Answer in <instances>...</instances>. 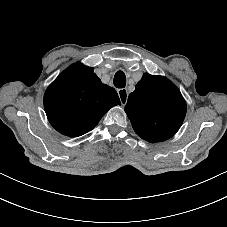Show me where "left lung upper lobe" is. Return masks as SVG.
I'll use <instances>...</instances> for the list:
<instances>
[{
    "instance_id": "1",
    "label": "left lung upper lobe",
    "mask_w": 227,
    "mask_h": 227,
    "mask_svg": "<svg viewBox=\"0 0 227 227\" xmlns=\"http://www.w3.org/2000/svg\"><path fill=\"white\" fill-rule=\"evenodd\" d=\"M125 112L136 134L155 143L171 138L179 130L186 102L169 79L144 74L129 95Z\"/></svg>"
}]
</instances>
